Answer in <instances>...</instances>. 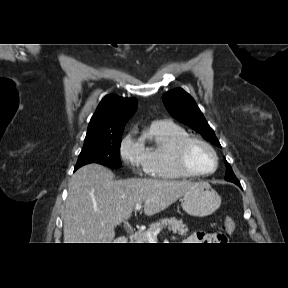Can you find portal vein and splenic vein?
I'll list each match as a JSON object with an SVG mask.
<instances>
[{"instance_id": "18ae733b", "label": "portal vein and splenic vein", "mask_w": 288, "mask_h": 288, "mask_svg": "<svg viewBox=\"0 0 288 288\" xmlns=\"http://www.w3.org/2000/svg\"><path fill=\"white\" fill-rule=\"evenodd\" d=\"M142 208V205H141V203H139V204H137L136 206H135V210L136 211H139L140 209ZM160 232V229H158V230H156V231H154V232H147V237H148V240L149 241H154V240H156L157 239V235H158V233Z\"/></svg>"}]
</instances>
